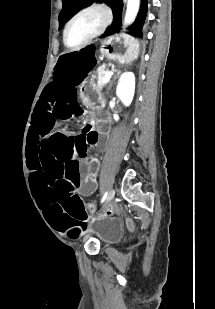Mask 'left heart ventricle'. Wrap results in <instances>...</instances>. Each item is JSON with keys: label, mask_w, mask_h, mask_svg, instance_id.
Instances as JSON below:
<instances>
[{"label": "left heart ventricle", "mask_w": 215, "mask_h": 309, "mask_svg": "<svg viewBox=\"0 0 215 309\" xmlns=\"http://www.w3.org/2000/svg\"><path fill=\"white\" fill-rule=\"evenodd\" d=\"M86 31V24L83 21L78 22L70 31L69 40L72 43L78 42Z\"/></svg>", "instance_id": "1"}]
</instances>
